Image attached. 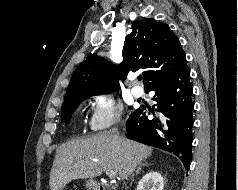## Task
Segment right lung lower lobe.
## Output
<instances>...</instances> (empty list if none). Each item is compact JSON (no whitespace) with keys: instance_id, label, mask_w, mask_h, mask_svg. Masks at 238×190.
I'll return each instance as SVG.
<instances>
[{"instance_id":"98d812e1","label":"right lung lower lobe","mask_w":238,"mask_h":190,"mask_svg":"<svg viewBox=\"0 0 238 190\" xmlns=\"http://www.w3.org/2000/svg\"><path fill=\"white\" fill-rule=\"evenodd\" d=\"M149 91H155L159 114L150 120L145 107L136 109L126 123L127 137L172 152L188 171L192 159L194 103L186 59L174 72L152 83L146 89Z\"/></svg>"}]
</instances>
